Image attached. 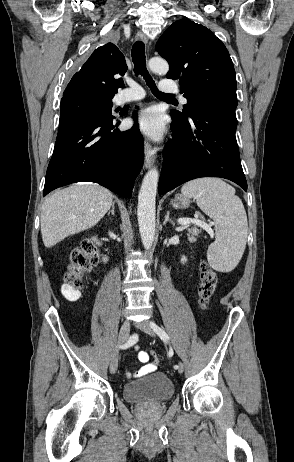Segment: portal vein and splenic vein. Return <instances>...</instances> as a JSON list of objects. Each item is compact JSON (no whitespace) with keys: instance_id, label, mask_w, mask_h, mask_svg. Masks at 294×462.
<instances>
[{"instance_id":"portal-vein-and-splenic-vein-1","label":"portal vein and splenic vein","mask_w":294,"mask_h":462,"mask_svg":"<svg viewBox=\"0 0 294 462\" xmlns=\"http://www.w3.org/2000/svg\"><path fill=\"white\" fill-rule=\"evenodd\" d=\"M178 224L181 226H188L190 224H195L201 227H208V225L198 219H191V218H181L177 220Z\"/></svg>"}]
</instances>
